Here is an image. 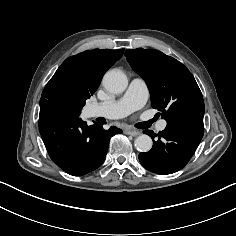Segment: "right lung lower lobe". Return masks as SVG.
<instances>
[{"label":"right lung lower lobe","instance_id":"obj_1","mask_svg":"<svg viewBox=\"0 0 236 236\" xmlns=\"http://www.w3.org/2000/svg\"><path fill=\"white\" fill-rule=\"evenodd\" d=\"M39 130L52 161L73 176L85 175L104 161L109 140L122 131L88 126L79 116L56 105L40 107Z\"/></svg>","mask_w":236,"mask_h":236}]
</instances>
